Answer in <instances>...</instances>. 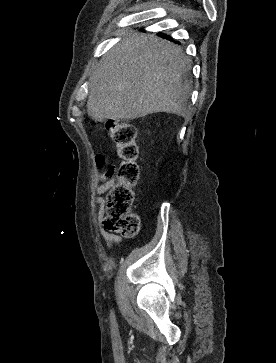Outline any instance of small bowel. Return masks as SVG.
I'll use <instances>...</instances> for the list:
<instances>
[{
	"mask_svg": "<svg viewBox=\"0 0 276 363\" xmlns=\"http://www.w3.org/2000/svg\"><path fill=\"white\" fill-rule=\"evenodd\" d=\"M104 164H105L104 156L98 155L96 157V167H97L96 179L100 182V184L95 187V192L98 195V197L95 199V204L99 207L98 221L101 220L104 214L103 210L104 199L101 197V195L104 194L107 190H109L115 183V180L111 177L112 168H110L107 172L101 171V169L104 167ZM99 232L102 235L105 244L108 247H112L114 243H120L122 241V238L119 235L110 233L101 227H99Z\"/></svg>",
	"mask_w": 276,
	"mask_h": 363,
	"instance_id": "1",
	"label": "small bowel"
}]
</instances>
